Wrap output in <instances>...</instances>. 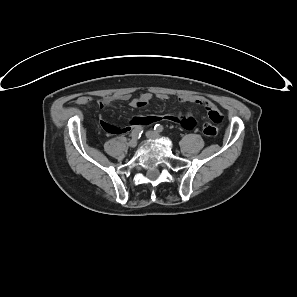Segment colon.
I'll use <instances>...</instances> for the list:
<instances>
[{"mask_svg": "<svg viewBox=\"0 0 297 297\" xmlns=\"http://www.w3.org/2000/svg\"><path fill=\"white\" fill-rule=\"evenodd\" d=\"M210 118L215 123H220L222 121V116L220 114H213L210 116ZM203 132L206 136L213 137L217 135V128L212 125H207L205 126Z\"/></svg>", "mask_w": 297, "mask_h": 297, "instance_id": "5ec220e1", "label": "colon"}]
</instances>
